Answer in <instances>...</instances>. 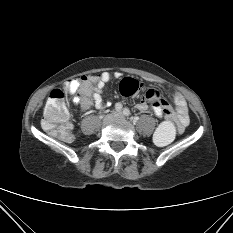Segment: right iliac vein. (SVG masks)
Masks as SVG:
<instances>
[{
	"label": "right iliac vein",
	"instance_id": "right-iliac-vein-1",
	"mask_svg": "<svg viewBox=\"0 0 233 233\" xmlns=\"http://www.w3.org/2000/svg\"><path fill=\"white\" fill-rule=\"evenodd\" d=\"M116 116H117L116 114L107 115V116L104 118V122H109V121L113 120Z\"/></svg>",
	"mask_w": 233,
	"mask_h": 233
}]
</instances>
